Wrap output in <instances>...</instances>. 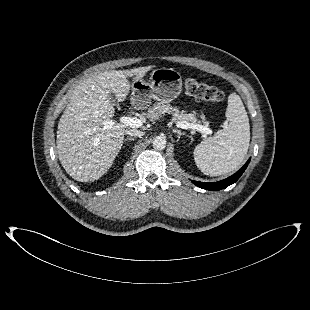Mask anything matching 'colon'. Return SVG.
Returning <instances> with one entry per match:
<instances>
[{
  "label": "colon",
  "mask_w": 310,
  "mask_h": 310,
  "mask_svg": "<svg viewBox=\"0 0 310 310\" xmlns=\"http://www.w3.org/2000/svg\"><path fill=\"white\" fill-rule=\"evenodd\" d=\"M185 91L188 95L207 102L217 103L224 98V93L217 87L201 83L195 79H187Z\"/></svg>",
  "instance_id": "5ec220e1"
}]
</instances>
